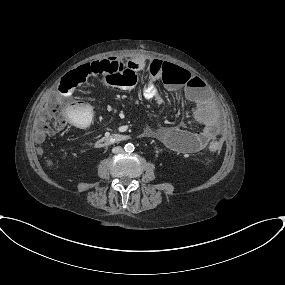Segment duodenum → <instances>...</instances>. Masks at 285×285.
<instances>
[{"instance_id":"duodenum-1","label":"duodenum","mask_w":285,"mask_h":285,"mask_svg":"<svg viewBox=\"0 0 285 285\" xmlns=\"http://www.w3.org/2000/svg\"><path fill=\"white\" fill-rule=\"evenodd\" d=\"M132 137L130 135L120 134V133H112L106 136H103L96 140L95 146L96 147H104L106 145H111L115 143L126 142L130 140Z\"/></svg>"}]
</instances>
